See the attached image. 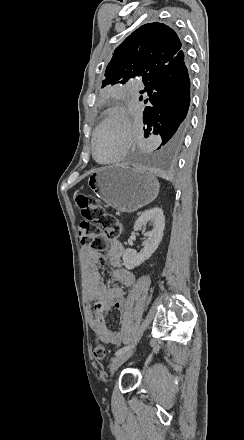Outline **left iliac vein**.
Returning a JSON list of instances; mask_svg holds the SVG:
<instances>
[{
	"mask_svg": "<svg viewBox=\"0 0 244 440\" xmlns=\"http://www.w3.org/2000/svg\"><path fill=\"white\" fill-rule=\"evenodd\" d=\"M132 355L131 351L123 352L111 360L110 371L114 373Z\"/></svg>",
	"mask_w": 244,
	"mask_h": 440,
	"instance_id": "obj_1",
	"label": "left iliac vein"
}]
</instances>
